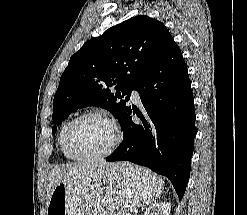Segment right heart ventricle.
Returning <instances> with one entry per match:
<instances>
[{
    "label": "right heart ventricle",
    "mask_w": 247,
    "mask_h": 215,
    "mask_svg": "<svg viewBox=\"0 0 247 215\" xmlns=\"http://www.w3.org/2000/svg\"><path fill=\"white\" fill-rule=\"evenodd\" d=\"M71 121L72 120L69 119L63 122V124L60 127L59 135H58V144H59L60 151L62 155L68 160H74L68 153L67 146H66V133H67V130H68V127Z\"/></svg>",
    "instance_id": "obj_1"
}]
</instances>
